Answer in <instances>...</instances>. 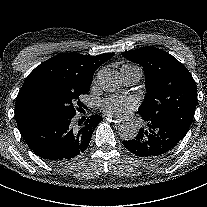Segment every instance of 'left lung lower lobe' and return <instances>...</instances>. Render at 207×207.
Wrapping results in <instances>:
<instances>
[{
	"mask_svg": "<svg viewBox=\"0 0 207 207\" xmlns=\"http://www.w3.org/2000/svg\"><path fill=\"white\" fill-rule=\"evenodd\" d=\"M135 139L122 142L133 154L153 158L171 151L186 135L175 123L169 120H144Z\"/></svg>",
	"mask_w": 207,
	"mask_h": 207,
	"instance_id": "obj_1",
	"label": "left lung lower lobe"
}]
</instances>
